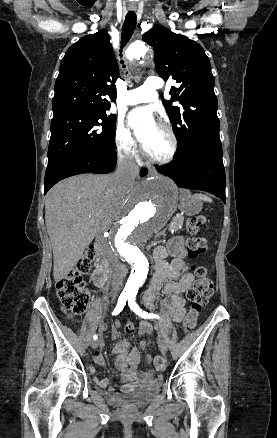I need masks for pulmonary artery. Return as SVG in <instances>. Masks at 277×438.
<instances>
[{"label": "pulmonary artery", "mask_w": 277, "mask_h": 438, "mask_svg": "<svg viewBox=\"0 0 277 438\" xmlns=\"http://www.w3.org/2000/svg\"><path fill=\"white\" fill-rule=\"evenodd\" d=\"M163 76H148L143 82V87H130L126 89V94L129 95L126 102L128 105H136L155 100L159 94L155 90H164L165 86H171L173 80H166L165 83H160V78ZM164 78V77H163Z\"/></svg>", "instance_id": "pulmonary-artery-1"}]
</instances>
